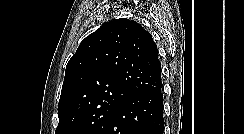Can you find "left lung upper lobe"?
I'll return each instance as SVG.
<instances>
[{"label":"left lung upper lobe","instance_id":"left-lung-upper-lobe-1","mask_svg":"<svg viewBox=\"0 0 244 134\" xmlns=\"http://www.w3.org/2000/svg\"><path fill=\"white\" fill-rule=\"evenodd\" d=\"M160 86L150 33L126 18L107 22L80 43L66 66L55 134H103L127 98Z\"/></svg>","mask_w":244,"mask_h":134}]
</instances>
